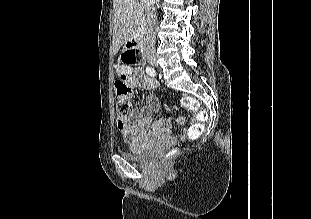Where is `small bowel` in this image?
Listing matches in <instances>:
<instances>
[{
	"instance_id": "1",
	"label": "small bowel",
	"mask_w": 311,
	"mask_h": 219,
	"mask_svg": "<svg viewBox=\"0 0 311 219\" xmlns=\"http://www.w3.org/2000/svg\"><path fill=\"white\" fill-rule=\"evenodd\" d=\"M116 72L119 76L125 75L132 88L153 89L158 83L156 79L145 74L140 67L117 65ZM142 108H132L127 117L117 120L118 130L128 143L146 141L152 138L172 137V122L166 118L152 121V116L159 109V101L154 95H147ZM183 123L184 119L179 118Z\"/></svg>"
}]
</instances>
